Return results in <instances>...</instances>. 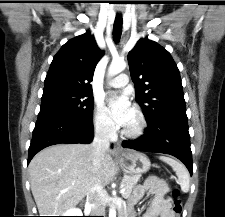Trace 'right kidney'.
<instances>
[{
  "label": "right kidney",
  "mask_w": 225,
  "mask_h": 217,
  "mask_svg": "<svg viewBox=\"0 0 225 217\" xmlns=\"http://www.w3.org/2000/svg\"><path fill=\"white\" fill-rule=\"evenodd\" d=\"M63 216H82V212L79 209H71L66 212V214H62Z\"/></svg>",
  "instance_id": "1"
}]
</instances>
